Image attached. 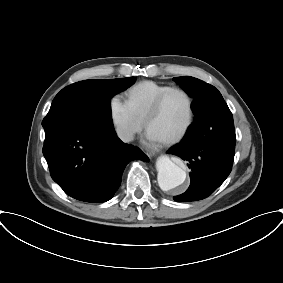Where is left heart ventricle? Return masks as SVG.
I'll list each match as a JSON object with an SVG mask.
<instances>
[{
	"label": "left heart ventricle",
	"mask_w": 283,
	"mask_h": 283,
	"mask_svg": "<svg viewBox=\"0 0 283 283\" xmlns=\"http://www.w3.org/2000/svg\"><path fill=\"white\" fill-rule=\"evenodd\" d=\"M188 104L180 92H172L165 99L159 113L150 121L148 132L161 140L177 134L186 122Z\"/></svg>",
	"instance_id": "obj_1"
}]
</instances>
